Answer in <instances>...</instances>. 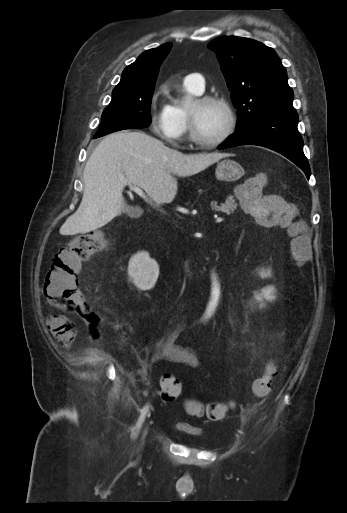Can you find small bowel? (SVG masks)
<instances>
[{
  "label": "small bowel",
  "instance_id": "1",
  "mask_svg": "<svg viewBox=\"0 0 347 513\" xmlns=\"http://www.w3.org/2000/svg\"><path fill=\"white\" fill-rule=\"evenodd\" d=\"M47 326L56 339L58 345L63 349H69L76 337V329L66 317L53 315L47 318ZM183 327V321L177 322L169 331L166 338L156 345L152 354L153 360L165 359L176 364H183L195 368L199 365L196 354L185 347L174 343L176 336Z\"/></svg>",
  "mask_w": 347,
  "mask_h": 513
}]
</instances>
